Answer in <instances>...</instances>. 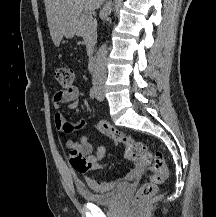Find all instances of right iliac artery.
<instances>
[{
  "instance_id": "1",
  "label": "right iliac artery",
  "mask_w": 216,
  "mask_h": 217,
  "mask_svg": "<svg viewBox=\"0 0 216 217\" xmlns=\"http://www.w3.org/2000/svg\"><path fill=\"white\" fill-rule=\"evenodd\" d=\"M89 95H90V98H92V99L96 98V95H97L96 87H92L90 89Z\"/></svg>"
}]
</instances>
